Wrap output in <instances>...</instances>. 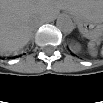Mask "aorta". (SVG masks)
Listing matches in <instances>:
<instances>
[{
  "label": "aorta",
  "instance_id": "762f6f07",
  "mask_svg": "<svg viewBox=\"0 0 103 103\" xmlns=\"http://www.w3.org/2000/svg\"><path fill=\"white\" fill-rule=\"evenodd\" d=\"M57 27L65 33H70L73 30V22L67 15H60L56 21Z\"/></svg>",
  "mask_w": 103,
  "mask_h": 103
}]
</instances>
